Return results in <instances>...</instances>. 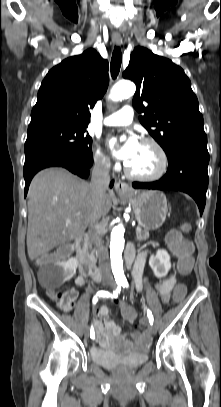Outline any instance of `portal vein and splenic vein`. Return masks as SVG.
I'll use <instances>...</instances> for the list:
<instances>
[{"label":"portal vein and splenic vein","mask_w":221,"mask_h":407,"mask_svg":"<svg viewBox=\"0 0 221 407\" xmlns=\"http://www.w3.org/2000/svg\"><path fill=\"white\" fill-rule=\"evenodd\" d=\"M67 223H69V221H68ZM136 231H137V232H138V231H141V228H140V227H137V228H136Z\"/></svg>","instance_id":"18ae733b"}]
</instances>
